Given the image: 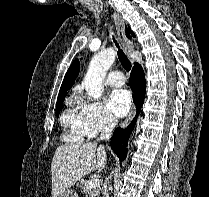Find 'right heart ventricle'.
Masks as SVG:
<instances>
[{"instance_id": "1", "label": "right heart ventricle", "mask_w": 209, "mask_h": 197, "mask_svg": "<svg viewBox=\"0 0 209 197\" xmlns=\"http://www.w3.org/2000/svg\"><path fill=\"white\" fill-rule=\"evenodd\" d=\"M60 122L64 128L63 138L66 141L79 142L88 136L80 114V108L74 98L69 99L67 108L61 115Z\"/></svg>"}]
</instances>
